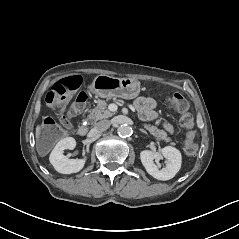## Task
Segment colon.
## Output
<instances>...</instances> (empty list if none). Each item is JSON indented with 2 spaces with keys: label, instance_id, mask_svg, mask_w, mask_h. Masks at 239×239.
<instances>
[{
  "label": "colon",
  "instance_id": "5ec220e1",
  "mask_svg": "<svg viewBox=\"0 0 239 239\" xmlns=\"http://www.w3.org/2000/svg\"><path fill=\"white\" fill-rule=\"evenodd\" d=\"M81 77L74 75L60 79L53 86L51 91L46 96V101L50 106H61L67 98L71 96L81 85ZM87 101L85 92H79L75 102L71 106L68 117L73 118L78 116L84 109ZM173 110L179 113L180 124L185 128L184 150L188 155H194L197 151L196 132L194 130L193 115L189 111V105L183 95L175 93L170 99ZM62 123L67 126L68 119L62 118ZM63 130L51 119L47 118L42 126V135L47 142H53L63 136Z\"/></svg>",
  "mask_w": 239,
  "mask_h": 239
}]
</instances>
